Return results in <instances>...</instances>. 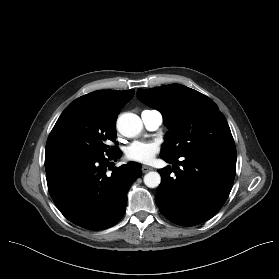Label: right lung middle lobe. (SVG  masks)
Instances as JSON below:
<instances>
[{"label": "right lung middle lobe", "instance_id": "dd1d6c3e", "mask_svg": "<svg viewBox=\"0 0 279 279\" xmlns=\"http://www.w3.org/2000/svg\"><path fill=\"white\" fill-rule=\"evenodd\" d=\"M116 140L115 123L100 118L89 106L73 101L63 111L46 144L45 159L61 156L109 155L119 148L110 147Z\"/></svg>", "mask_w": 279, "mask_h": 279}]
</instances>
